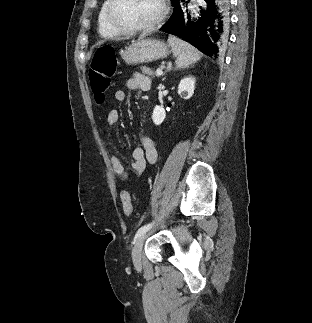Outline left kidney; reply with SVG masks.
Segmentation results:
<instances>
[{"mask_svg":"<svg viewBox=\"0 0 312 323\" xmlns=\"http://www.w3.org/2000/svg\"><path fill=\"white\" fill-rule=\"evenodd\" d=\"M195 80L192 76H188V78H183L178 86V94L179 96H183L184 100H189L191 96L194 94V86ZM165 110L163 106H155L152 114V120L156 126L162 124L165 120Z\"/></svg>","mask_w":312,"mask_h":323,"instance_id":"obj_1","label":"left kidney"}]
</instances>
